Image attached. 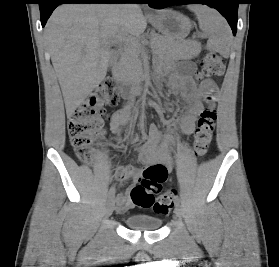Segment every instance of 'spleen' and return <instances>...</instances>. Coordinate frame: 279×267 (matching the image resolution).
Returning <instances> with one entry per match:
<instances>
[{
    "instance_id": "3e777b00",
    "label": "spleen",
    "mask_w": 279,
    "mask_h": 267,
    "mask_svg": "<svg viewBox=\"0 0 279 267\" xmlns=\"http://www.w3.org/2000/svg\"><path fill=\"white\" fill-rule=\"evenodd\" d=\"M190 9L197 16L200 29L209 36L208 49L228 56L232 35L225 19L206 5H192Z\"/></svg>"
}]
</instances>
